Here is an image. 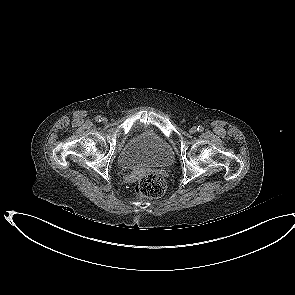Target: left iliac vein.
I'll return each instance as SVG.
<instances>
[{"mask_svg":"<svg viewBox=\"0 0 295 295\" xmlns=\"http://www.w3.org/2000/svg\"><path fill=\"white\" fill-rule=\"evenodd\" d=\"M189 132H190L191 134L196 133V132H197V128H196V127H192V128L189 130Z\"/></svg>","mask_w":295,"mask_h":295,"instance_id":"1","label":"left iliac vein"}]
</instances>
